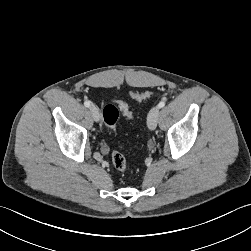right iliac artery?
Returning a JSON list of instances; mask_svg holds the SVG:
<instances>
[{"instance_id": "obj_1", "label": "right iliac artery", "mask_w": 251, "mask_h": 251, "mask_svg": "<svg viewBox=\"0 0 251 251\" xmlns=\"http://www.w3.org/2000/svg\"><path fill=\"white\" fill-rule=\"evenodd\" d=\"M84 105H85V107H90V106H91V104H90L89 101H85V102H84Z\"/></svg>"}]
</instances>
